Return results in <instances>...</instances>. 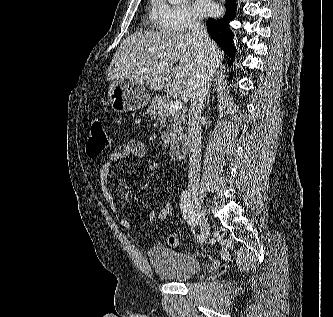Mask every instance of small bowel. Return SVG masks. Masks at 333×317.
<instances>
[{"instance_id": "small-bowel-1", "label": "small bowel", "mask_w": 333, "mask_h": 317, "mask_svg": "<svg viewBox=\"0 0 333 317\" xmlns=\"http://www.w3.org/2000/svg\"><path fill=\"white\" fill-rule=\"evenodd\" d=\"M146 154L145 144L138 139H131L124 144H120L114 148L109 154L108 158L101 165L99 170L100 188L104 201L115 215L120 226L127 230L135 228V223L131 220L122 217L118 211L117 203L115 202L113 193L109 186V177L111 170L118 162L131 159L143 158ZM148 220L153 221L156 219V211L152 210L147 216Z\"/></svg>"}]
</instances>
